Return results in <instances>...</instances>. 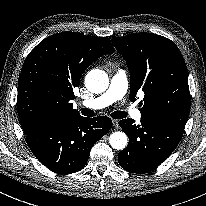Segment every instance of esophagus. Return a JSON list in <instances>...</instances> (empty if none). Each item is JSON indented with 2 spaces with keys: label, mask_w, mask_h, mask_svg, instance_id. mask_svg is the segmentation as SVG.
Masks as SVG:
<instances>
[{
  "label": "esophagus",
  "mask_w": 206,
  "mask_h": 206,
  "mask_svg": "<svg viewBox=\"0 0 206 206\" xmlns=\"http://www.w3.org/2000/svg\"><path fill=\"white\" fill-rule=\"evenodd\" d=\"M112 122H113V126L114 127H116V128H118V126H119V124H118V120H112Z\"/></svg>",
  "instance_id": "1"
}]
</instances>
